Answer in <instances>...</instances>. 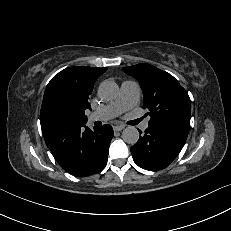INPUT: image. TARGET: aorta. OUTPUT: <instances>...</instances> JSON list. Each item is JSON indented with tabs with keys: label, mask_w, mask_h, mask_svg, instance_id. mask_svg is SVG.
<instances>
[{
	"label": "aorta",
	"mask_w": 231,
	"mask_h": 231,
	"mask_svg": "<svg viewBox=\"0 0 231 231\" xmlns=\"http://www.w3.org/2000/svg\"><path fill=\"white\" fill-rule=\"evenodd\" d=\"M118 85L111 80L103 81L98 88V95L103 100H112L117 96ZM124 142L134 145L139 139V131L134 126L126 127L122 132Z\"/></svg>",
	"instance_id": "762f6f07"
}]
</instances>
